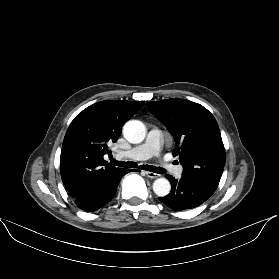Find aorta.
<instances>
[{
    "label": "aorta",
    "instance_id": "762f6f07",
    "mask_svg": "<svg viewBox=\"0 0 279 279\" xmlns=\"http://www.w3.org/2000/svg\"><path fill=\"white\" fill-rule=\"evenodd\" d=\"M124 137L131 143H140L146 135L145 125L138 120L128 121L123 127ZM171 184L166 178L156 179L153 183V191L159 197L169 194Z\"/></svg>",
    "mask_w": 279,
    "mask_h": 279
}]
</instances>
